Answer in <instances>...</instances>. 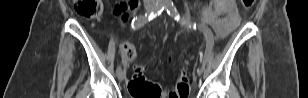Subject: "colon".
Here are the masks:
<instances>
[{"label":"colon","mask_w":308,"mask_h":98,"mask_svg":"<svg viewBox=\"0 0 308 98\" xmlns=\"http://www.w3.org/2000/svg\"><path fill=\"white\" fill-rule=\"evenodd\" d=\"M135 2L136 0L118 2L114 7V13L117 15H122L123 20H126L128 17L126 11L127 9L132 8ZM242 3L244 8L248 10L255 3V0H243ZM74 6L77 14L87 20L98 18L103 11L102 3L100 0H75ZM119 29L124 31L126 26L121 24ZM120 50L125 60L128 61L130 58H135L133 48L127 41H123L120 44ZM142 70L143 68L141 66L135 67L132 79L129 82V89L134 97L160 98V96L163 95L165 97L169 96L171 98H185L188 95L189 79L184 70L180 72V75L174 84L172 93H162L159 86L146 80L142 74Z\"/></svg>","instance_id":"obj_1"}]
</instances>
